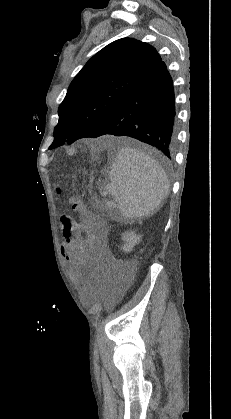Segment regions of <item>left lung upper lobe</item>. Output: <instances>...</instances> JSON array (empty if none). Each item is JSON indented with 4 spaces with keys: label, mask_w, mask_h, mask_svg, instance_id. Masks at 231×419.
Listing matches in <instances>:
<instances>
[{
    "label": "left lung upper lobe",
    "mask_w": 231,
    "mask_h": 419,
    "mask_svg": "<svg viewBox=\"0 0 231 419\" xmlns=\"http://www.w3.org/2000/svg\"><path fill=\"white\" fill-rule=\"evenodd\" d=\"M162 62L147 43L123 38L96 53L71 82L59 106V121L49 149L90 137Z\"/></svg>",
    "instance_id": "1"
}]
</instances>
